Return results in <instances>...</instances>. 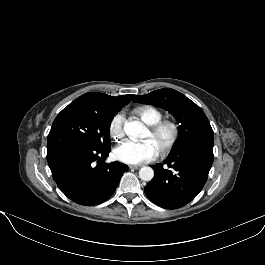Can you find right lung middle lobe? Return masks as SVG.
Instances as JSON below:
<instances>
[{
	"instance_id": "1",
	"label": "right lung middle lobe",
	"mask_w": 265,
	"mask_h": 265,
	"mask_svg": "<svg viewBox=\"0 0 265 265\" xmlns=\"http://www.w3.org/2000/svg\"><path fill=\"white\" fill-rule=\"evenodd\" d=\"M113 117L83 106H67L55 118L48 141L73 138L95 148H110V123Z\"/></svg>"
}]
</instances>
